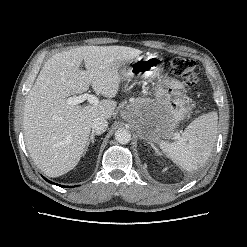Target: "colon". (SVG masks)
Returning a JSON list of instances; mask_svg holds the SVG:
<instances>
[{
	"label": "colon",
	"instance_id": "1",
	"mask_svg": "<svg viewBox=\"0 0 247 247\" xmlns=\"http://www.w3.org/2000/svg\"><path fill=\"white\" fill-rule=\"evenodd\" d=\"M171 68L173 73L182 77L188 86H193L199 81V67L191 59L175 57L171 60Z\"/></svg>",
	"mask_w": 247,
	"mask_h": 247
}]
</instances>
